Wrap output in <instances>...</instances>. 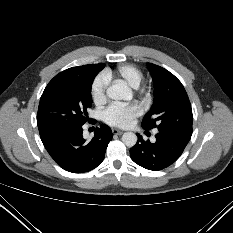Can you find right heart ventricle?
I'll return each instance as SVG.
<instances>
[{
	"label": "right heart ventricle",
	"instance_id": "1",
	"mask_svg": "<svg viewBox=\"0 0 233 233\" xmlns=\"http://www.w3.org/2000/svg\"><path fill=\"white\" fill-rule=\"evenodd\" d=\"M116 73L131 87H138L142 81L143 75L138 67L132 64H123L118 66ZM105 74L110 79L112 76L111 71H106Z\"/></svg>",
	"mask_w": 233,
	"mask_h": 233
}]
</instances>
